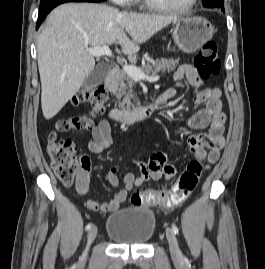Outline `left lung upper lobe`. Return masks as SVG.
<instances>
[{"label":"left lung upper lobe","mask_w":265,"mask_h":269,"mask_svg":"<svg viewBox=\"0 0 265 269\" xmlns=\"http://www.w3.org/2000/svg\"><path fill=\"white\" fill-rule=\"evenodd\" d=\"M203 3L206 7H218L224 9V1L223 0H203Z\"/></svg>","instance_id":"left-lung-upper-lobe-1"}]
</instances>
